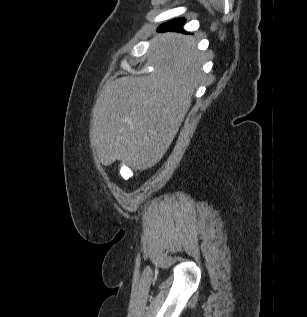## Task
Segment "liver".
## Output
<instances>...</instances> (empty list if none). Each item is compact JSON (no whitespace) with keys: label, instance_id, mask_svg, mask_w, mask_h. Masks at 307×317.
Here are the masks:
<instances>
[{"label":"liver","instance_id":"liver-1","mask_svg":"<svg viewBox=\"0 0 307 317\" xmlns=\"http://www.w3.org/2000/svg\"><path fill=\"white\" fill-rule=\"evenodd\" d=\"M147 55L152 73L108 82L96 101L90 138L105 166L120 160L145 170L159 162L202 80L203 56L191 36L156 35Z\"/></svg>","mask_w":307,"mask_h":317}]
</instances>
